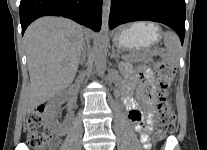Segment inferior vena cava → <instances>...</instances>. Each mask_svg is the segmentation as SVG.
<instances>
[{"instance_id": "obj_1", "label": "inferior vena cava", "mask_w": 207, "mask_h": 150, "mask_svg": "<svg viewBox=\"0 0 207 150\" xmlns=\"http://www.w3.org/2000/svg\"><path fill=\"white\" fill-rule=\"evenodd\" d=\"M84 77H85V75H84V74H80V76H79V77H78V79H77V82H78V83L83 82Z\"/></svg>"}]
</instances>
